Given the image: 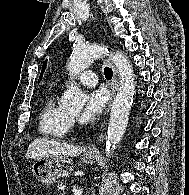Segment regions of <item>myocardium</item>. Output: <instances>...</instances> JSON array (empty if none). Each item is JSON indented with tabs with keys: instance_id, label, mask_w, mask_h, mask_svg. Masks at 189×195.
Listing matches in <instances>:
<instances>
[{
	"instance_id": "1",
	"label": "myocardium",
	"mask_w": 189,
	"mask_h": 195,
	"mask_svg": "<svg viewBox=\"0 0 189 195\" xmlns=\"http://www.w3.org/2000/svg\"><path fill=\"white\" fill-rule=\"evenodd\" d=\"M70 117H71V119H74V118H75V116H74V115H71Z\"/></svg>"
}]
</instances>
